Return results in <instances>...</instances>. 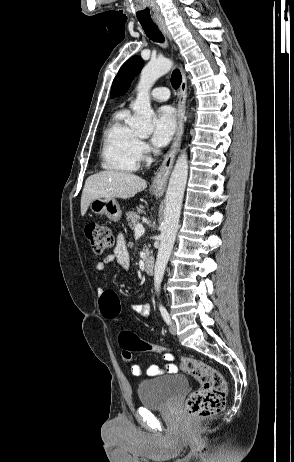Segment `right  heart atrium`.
I'll return each instance as SVG.
<instances>
[{
	"mask_svg": "<svg viewBox=\"0 0 294 462\" xmlns=\"http://www.w3.org/2000/svg\"><path fill=\"white\" fill-rule=\"evenodd\" d=\"M137 152L140 160H146L150 156L151 148L144 139H138Z\"/></svg>",
	"mask_w": 294,
	"mask_h": 462,
	"instance_id": "obj_1",
	"label": "right heart atrium"
}]
</instances>
